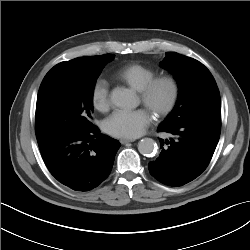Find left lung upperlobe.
<instances>
[{
    "instance_id": "5c2ea615",
    "label": "left lung upper lobe",
    "mask_w": 250,
    "mask_h": 250,
    "mask_svg": "<svg viewBox=\"0 0 250 250\" xmlns=\"http://www.w3.org/2000/svg\"><path fill=\"white\" fill-rule=\"evenodd\" d=\"M160 65L174 75L179 86L177 103L161 125L174 127L190 118L221 113L218 87L202 63L175 52H167Z\"/></svg>"
}]
</instances>
